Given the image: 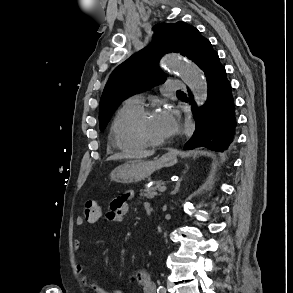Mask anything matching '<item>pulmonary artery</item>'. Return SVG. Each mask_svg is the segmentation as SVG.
Listing matches in <instances>:
<instances>
[{"mask_svg":"<svg viewBox=\"0 0 293 293\" xmlns=\"http://www.w3.org/2000/svg\"><path fill=\"white\" fill-rule=\"evenodd\" d=\"M184 87L185 86L183 83L176 81V80H172L167 83V89L170 91L181 90ZM125 103L130 104V105H134L137 107H142L143 97L141 95H134V96L128 98Z\"/></svg>","mask_w":293,"mask_h":293,"instance_id":"pulmonary-artery-1","label":"pulmonary artery"}]
</instances>
